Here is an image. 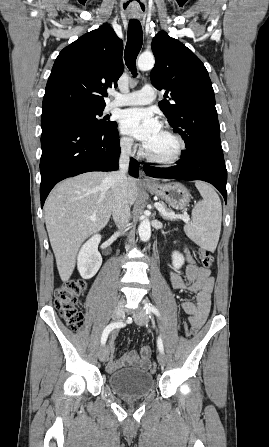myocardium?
<instances>
[{"label": "myocardium", "instance_id": "f54148a6", "mask_svg": "<svg viewBox=\"0 0 269 447\" xmlns=\"http://www.w3.org/2000/svg\"><path fill=\"white\" fill-rule=\"evenodd\" d=\"M164 129H166L170 134H172L178 141V148L175 151V153L173 154V156L168 158V159H157V158H154L153 156H151L148 153V151L146 150L145 145L143 146V153H144L145 158L149 162H151L153 164H157V165H161V166H174L183 157L184 152H185L186 147H187V143H186V140L183 137V135L181 133H179L177 130H175L173 127H171L169 125H165Z\"/></svg>", "mask_w": 269, "mask_h": 447}]
</instances>
